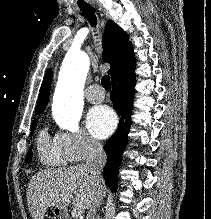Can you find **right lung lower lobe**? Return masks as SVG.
Wrapping results in <instances>:
<instances>
[{
	"label": "right lung lower lobe",
	"mask_w": 211,
	"mask_h": 219,
	"mask_svg": "<svg viewBox=\"0 0 211 219\" xmlns=\"http://www.w3.org/2000/svg\"><path fill=\"white\" fill-rule=\"evenodd\" d=\"M135 65L119 73L112 79L111 100L113 107L120 117L117 131L110 137L104 150L107 154V163L104 167V178L111 191H115L118 185V170L121 156L128 141L130 127V114L132 111L134 86L136 75Z\"/></svg>",
	"instance_id": "98d812e1"
}]
</instances>
